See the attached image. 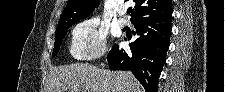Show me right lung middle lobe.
Segmentation results:
<instances>
[{
    "label": "right lung middle lobe",
    "instance_id": "right-lung-middle-lobe-1",
    "mask_svg": "<svg viewBox=\"0 0 225 92\" xmlns=\"http://www.w3.org/2000/svg\"><path fill=\"white\" fill-rule=\"evenodd\" d=\"M73 24H75V23H73ZM71 25L72 24L57 26V29L55 32V46H54L53 53H52L53 56L57 55V53L59 52V48L62 43V40L65 37V35L67 34L68 29Z\"/></svg>",
    "mask_w": 225,
    "mask_h": 92
}]
</instances>
